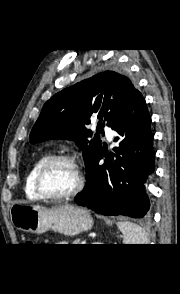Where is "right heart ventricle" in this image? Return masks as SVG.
Returning a JSON list of instances; mask_svg holds the SVG:
<instances>
[{
    "label": "right heart ventricle",
    "mask_w": 180,
    "mask_h": 294,
    "mask_svg": "<svg viewBox=\"0 0 180 294\" xmlns=\"http://www.w3.org/2000/svg\"><path fill=\"white\" fill-rule=\"evenodd\" d=\"M49 158L48 155H43L39 157L34 164L32 165L31 169L29 170L28 174L26 175L25 182H24V192L26 196L32 197L35 199H40L38 196L35 187H34V180L35 175L39 167Z\"/></svg>",
    "instance_id": "1"
}]
</instances>
